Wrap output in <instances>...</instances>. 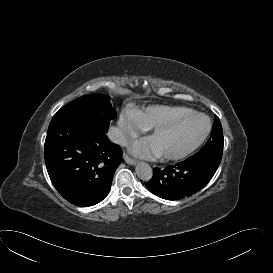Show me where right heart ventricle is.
<instances>
[{
    "instance_id": "e07e8e85",
    "label": "right heart ventricle",
    "mask_w": 273,
    "mask_h": 273,
    "mask_svg": "<svg viewBox=\"0 0 273 273\" xmlns=\"http://www.w3.org/2000/svg\"><path fill=\"white\" fill-rule=\"evenodd\" d=\"M189 111L190 110L185 107L158 106L152 107L147 111H136L134 113V119L136 124L139 126L143 128H150L170 122Z\"/></svg>"
}]
</instances>
